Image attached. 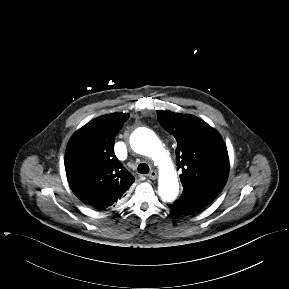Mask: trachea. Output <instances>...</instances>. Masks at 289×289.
I'll return each instance as SVG.
<instances>
[{
    "mask_svg": "<svg viewBox=\"0 0 289 289\" xmlns=\"http://www.w3.org/2000/svg\"><path fill=\"white\" fill-rule=\"evenodd\" d=\"M138 172L141 174H147L149 173V166L145 163H141L138 166Z\"/></svg>",
    "mask_w": 289,
    "mask_h": 289,
    "instance_id": "obj_1",
    "label": "trachea"
}]
</instances>
